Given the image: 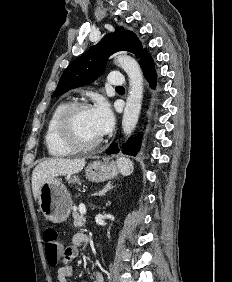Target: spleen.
<instances>
[{
    "mask_svg": "<svg viewBox=\"0 0 232 282\" xmlns=\"http://www.w3.org/2000/svg\"><path fill=\"white\" fill-rule=\"evenodd\" d=\"M117 166L123 175H129L133 171V163L129 159L123 157L117 160Z\"/></svg>",
    "mask_w": 232,
    "mask_h": 282,
    "instance_id": "3e777b00",
    "label": "spleen"
}]
</instances>
